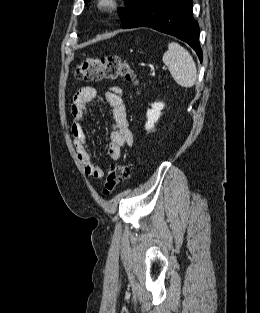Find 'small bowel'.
<instances>
[{
    "mask_svg": "<svg viewBox=\"0 0 260 313\" xmlns=\"http://www.w3.org/2000/svg\"><path fill=\"white\" fill-rule=\"evenodd\" d=\"M97 97V90L92 86H83L78 90L71 106L73 115L71 131L76 154L84 173L96 179H101L105 174L104 169L92 160V153L82 124L88 112L90 102ZM101 99L112 110L113 123L107 152L112 160L117 161L121 157L122 148L131 146L133 143V136L126 118V106L122 90L117 86L111 87Z\"/></svg>",
    "mask_w": 260,
    "mask_h": 313,
    "instance_id": "c3829d8e",
    "label": "small bowel"
}]
</instances>
